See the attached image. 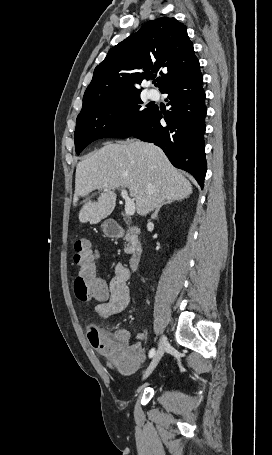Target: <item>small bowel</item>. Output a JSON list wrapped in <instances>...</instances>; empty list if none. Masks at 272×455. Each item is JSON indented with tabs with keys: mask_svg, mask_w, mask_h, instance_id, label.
I'll return each instance as SVG.
<instances>
[{
	"mask_svg": "<svg viewBox=\"0 0 272 455\" xmlns=\"http://www.w3.org/2000/svg\"><path fill=\"white\" fill-rule=\"evenodd\" d=\"M130 271L123 264L118 263L114 268V276L108 285V296L95 307L96 313L102 318H109L123 312L130 302V292L128 280ZM114 337L123 344H128L130 334L125 329H119L115 332ZM137 340L144 338L143 334L137 335ZM130 363L123 372L133 374L138 371L146 361V351L139 343H133L130 348Z\"/></svg>",
	"mask_w": 272,
	"mask_h": 455,
	"instance_id": "1",
	"label": "small bowel"
}]
</instances>
